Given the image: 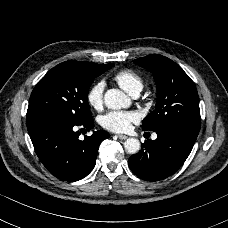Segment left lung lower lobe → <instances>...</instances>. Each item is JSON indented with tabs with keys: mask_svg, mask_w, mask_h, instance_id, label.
I'll use <instances>...</instances> for the list:
<instances>
[{
	"mask_svg": "<svg viewBox=\"0 0 228 228\" xmlns=\"http://www.w3.org/2000/svg\"><path fill=\"white\" fill-rule=\"evenodd\" d=\"M156 133V140H145L142 149L129 158L132 172L146 181H158L174 174L189 156L198 136L179 128H164Z\"/></svg>",
	"mask_w": 228,
	"mask_h": 228,
	"instance_id": "0a47b994",
	"label": "left lung lower lobe"
}]
</instances>
